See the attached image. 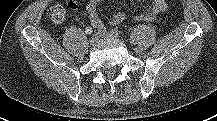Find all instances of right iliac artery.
I'll return each mask as SVG.
<instances>
[{"instance_id": "obj_1", "label": "right iliac artery", "mask_w": 217, "mask_h": 121, "mask_svg": "<svg viewBox=\"0 0 217 121\" xmlns=\"http://www.w3.org/2000/svg\"><path fill=\"white\" fill-rule=\"evenodd\" d=\"M105 31H106V28L102 26L98 29V34H103Z\"/></svg>"}]
</instances>
